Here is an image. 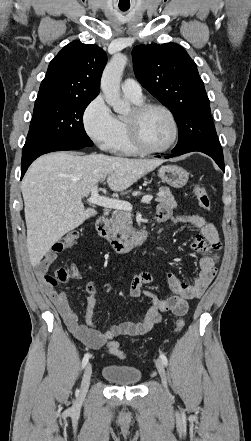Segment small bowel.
I'll list each match as a JSON object with an SVG mask.
<instances>
[{
	"label": "small bowel",
	"mask_w": 251,
	"mask_h": 441,
	"mask_svg": "<svg viewBox=\"0 0 251 441\" xmlns=\"http://www.w3.org/2000/svg\"><path fill=\"white\" fill-rule=\"evenodd\" d=\"M155 219L159 223L171 220L174 223H185L194 228L197 234L192 241V247L204 253V256L200 259V271L193 283L184 282L173 273L166 274L163 283L169 289L170 294L163 298H159L151 290L142 291L144 285L155 280L153 273L143 271L131 279L129 296L138 298L143 294L149 301V307L139 322H122L113 325L105 332L99 331L94 324L97 287L92 281L86 286V312L81 322L70 304L69 295L64 291H58L55 285L45 283L41 279L56 255L49 253L35 265L42 291L54 303L68 329L87 347L99 349L117 336L144 335L160 322L161 315L166 312H172L176 316L185 315L188 310V301L201 297L213 281L217 272L216 252L220 248L219 236L214 225L197 214L173 216L169 208L163 205L158 207ZM70 271L73 277L79 276V270L75 264L70 265Z\"/></svg>",
	"instance_id": "small-bowel-1"
}]
</instances>
